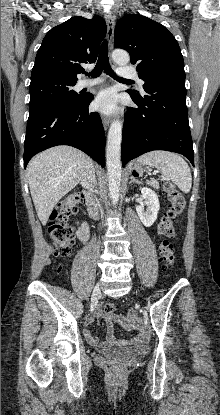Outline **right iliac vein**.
<instances>
[{"instance_id":"right-iliac-vein-1","label":"right iliac vein","mask_w":220,"mask_h":415,"mask_svg":"<svg viewBox=\"0 0 220 415\" xmlns=\"http://www.w3.org/2000/svg\"><path fill=\"white\" fill-rule=\"evenodd\" d=\"M100 296H101V291H100L99 283H97L92 292L91 306H90L91 311H94V309L96 308Z\"/></svg>"}]
</instances>
